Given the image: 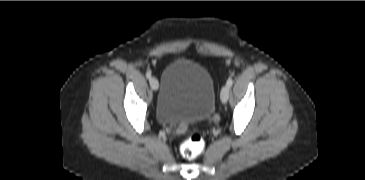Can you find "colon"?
Wrapping results in <instances>:
<instances>
[{"mask_svg":"<svg viewBox=\"0 0 365 180\" xmlns=\"http://www.w3.org/2000/svg\"><path fill=\"white\" fill-rule=\"evenodd\" d=\"M205 148L204 139L198 134H192L180 145L181 154L187 159L200 156Z\"/></svg>","mask_w":365,"mask_h":180,"instance_id":"1","label":"colon"}]
</instances>
